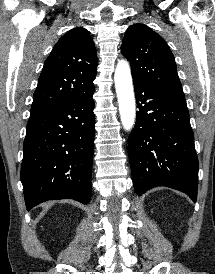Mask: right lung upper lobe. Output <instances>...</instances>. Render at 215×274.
<instances>
[{
  "label": "right lung upper lobe",
  "instance_id": "1",
  "mask_svg": "<svg viewBox=\"0 0 215 274\" xmlns=\"http://www.w3.org/2000/svg\"><path fill=\"white\" fill-rule=\"evenodd\" d=\"M96 69V49L88 31H68L44 63L30 114L40 115L91 89Z\"/></svg>",
  "mask_w": 215,
  "mask_h": 274
}]
</instances>
